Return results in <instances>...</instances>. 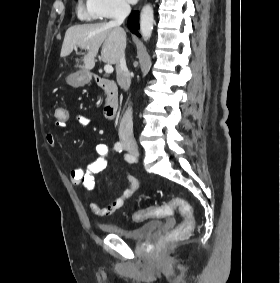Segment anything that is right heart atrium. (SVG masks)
Instances as JSON below:
<instances>
[{
    "mask_svg": "<svg viewBox=\"0 0 280 283\" xmlns=\"http://www.w3.org/2000/svg\"><path fill=\"white\" fill-rule=\"evenodd\" d=\"M86 9L93 18L109 20L127 15L130 6L127 0H86Z\"/></svg>",
    "mask_w": 280,
    "mask_h": 283,
    "instance_id": "right-heart-atrium-1",
    "label": "right heart atrium"
}]
</instances>
